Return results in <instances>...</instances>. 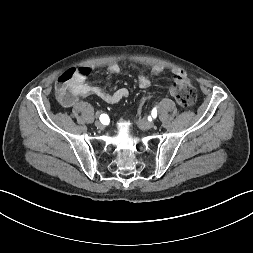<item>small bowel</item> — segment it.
Instances as JSON below:
<instances>
[{"label":"small bowel","mask_w":253,"mask_h":253,"mask_svg":"<svg viewBox=\"0 0 253 253\" xmlns=\"http://www.w3.org/2000/svg\"><path fill=\"white\" fill-rule=\"evenodd\" d=\"M80 73L74 78L71 84V94L72 97L69 101H61V104L65 107H71L76 104L78 98L87 97L90 95H96L104 102L108 104H116L121 100L125 99L129 95V90L127 88H120L114 93H108L104 89L98 86H92L86 82V76L88 73L87 69H79ZM121 71V68L118 64H111L108 67V72L111 74H118ZM163 67L156 65L151 69V74L157 76L162 73ZM173 78L175 85H181L185 82H188L189 79L186 73L180 69L172 70ZM138 85L140 88H147L151 85V79L148 75L140 73L138 76ZM170 94L174 96L172 87L170 88Z\"/></svg>","instance_id":"c3829d8e"}]
</instances>
